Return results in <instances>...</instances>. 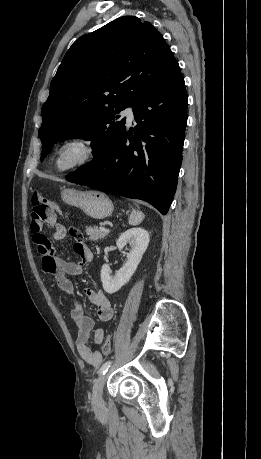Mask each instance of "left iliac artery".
<instances>
[{
	"mask_svg": "<svg viewBox=\"0 0 261 459\" xmlns=\"http://www.w3.org/2000/svg\"><path fill=\"white\" fill-rule=\"evenodd\" d=\"M111 364H112L111 361L105 362V363L101 366V368L99 369V372H98L99 376H100V375H104V374L108 371V369H109V367L111 366Z\"/></svg>",
	"mask_w": 261,
	"mask_h": 459,
	"instance_id": "1",
	"label": "left iliac artery"
}]
</instances>
